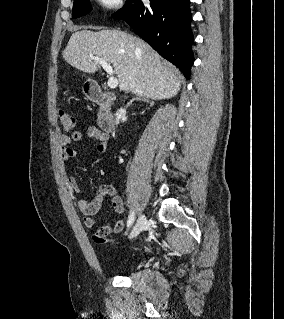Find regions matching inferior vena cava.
<instances>
[{"instance_id": "602c4592", "label": "inferior vena cava", "mask_w": 284, "mask_h": 319, "mask_svg": "<svg viewBox=\"0 0 284 319\" xmlns=\"http://www.w3.org/2000/svg\"><path fill=\"white\" fill-rule=\"evenodd\" d=\"M120 111H121V112H124L125 110L121 108Z\"/></svg>"}]
</instances>
